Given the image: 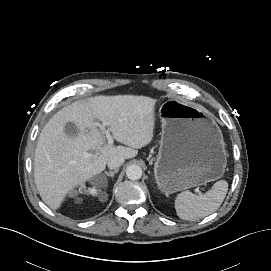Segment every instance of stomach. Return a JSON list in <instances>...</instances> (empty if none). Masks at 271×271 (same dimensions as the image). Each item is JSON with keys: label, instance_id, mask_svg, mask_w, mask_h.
Here are the masks:
<instances>
[{"label": "stomach", "instance_id": "1", "mask_svg": "<svg viewBox=\"0 0 271 271\" xmlns=\"http://www.w3.org/2000/svg\"><path fill=\"white\" fill-rule=\"evenodd\" d=\"M162 135L154 175L165 195L223 176L227 152L214 119L197 105L168 100L159 109Z\"/></svg>", "mask_w": 271, "mask_h": 271}]
</instances>
